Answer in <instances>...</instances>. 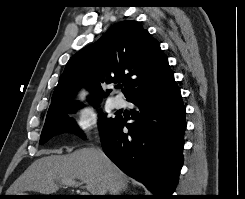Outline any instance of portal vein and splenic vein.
<instances>
[{"label": "portal vein and splenic vein", "mask_w": 245, "mask_h": 199, "mask_svg": "<svg viewBox=\"0 0 245 199\" xmlns=\"http://www.w3.org/2000/svg\"><path fill=\"white\" fill-rule=\"evenodd\" d=\"M62 184L70 185V186H79L80 184L76 182L75 180L70 181H62ZM81 195H90L88 192L83 191Z\"/></svg>", "instance_id": "obj_1"}]
</instances>
